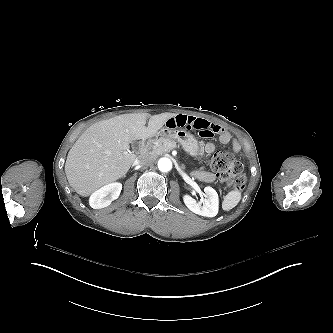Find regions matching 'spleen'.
<instances>
[{"instance_id":"spleen-1","label":"spleen","mask_w":333,"mask_h":333,"mask_svg":"<svg viewBox=\"0 0 333 333\" xmlns=\"http://www.w3.org/2000/svg\"><path fill=\"white\" fill-rule=\"evenodd\" d=\"M242 199V190L234 188L229 190L223 197L221 208L223 211H230L235 208Z\"/></svg>"}]
</instances>
